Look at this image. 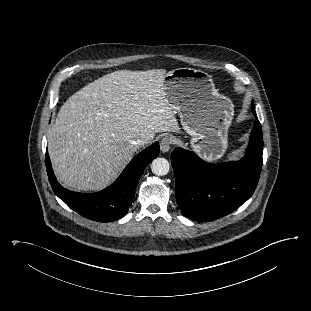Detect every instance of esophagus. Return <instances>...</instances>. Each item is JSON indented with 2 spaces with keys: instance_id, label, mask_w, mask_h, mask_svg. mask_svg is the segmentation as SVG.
Returning a JSON list of instances; mask_svg holds the SVG:
<instances>
[{
  "instance_id": "obj_1",
  "label": "esophagus",
  "mask_w": 311,
  "mask_h": 311,
  "mask_svg": "<svg viewBox=\"0 0 311 311\" xmlns=\"http://www.w3.org/2000/svg\"><path fill=\"white\" fill-rule=\"evenodd\" d=\"M174 140L172 137H169V136H166L164 137L161 142H160V148H161V151L163 153H166L170 150L171 148V145L173 144Z\"/></svg>"
}]
</instances>
